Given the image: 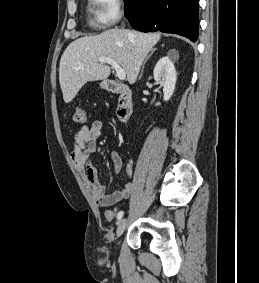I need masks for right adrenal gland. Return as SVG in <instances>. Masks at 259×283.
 <instances>
[{
    "label": "right adrenal gland",
    "mask_w": 259,
    "mask_h": 283,
    "mask_svg": "<svg viewBox=\"0 0 259 283\" xmlns=\"http://www.w3.org/2000/svg\"><path fill=\"white\" fill-rule=\"evenodd\" d=\"M154 52H155V49H153V50L151 51V53L147 56V58H146V60H145V62H144V64H143V66H142V71H141V74H140V76H139V79H141V77H142V75H143V70H144L145 63L149 60V58L153 55Z\"/></svg>",
    "instance_id": "1"
}]
</instances>
